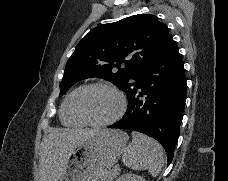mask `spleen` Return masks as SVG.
Segmentation results:
<instances>
[{
    "mask_svg": "<svg viewBox=\"0 0 228 181\" xmlns=\"http://www.w3.org/2000/svg\"><path fill=\"white\" fill-rule=\"evenodd\" d=\"M122 161L132 171H149L151 177H157L164 167V149L151 137L133 131L132 143L126 147Z\"/></svg>",
    "mask_w": 228,
    "mask_h": 181,
    "instance_id": "1",
    "label": "spleen"
}]
</instances>
